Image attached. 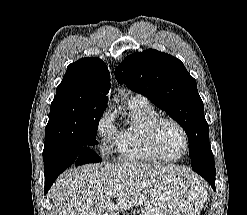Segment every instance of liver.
Returning <instances> with one entry per match:
<instances>
[{
	"mask_svg": "<svg viewBox=\"0 0 247 215\" xmlns=\"http://www.w3.org/2000/svg\"><path fill=\"white\" fill-rule=\"evenodd\" d=\"M182 172V167L161 163L89 164L61 175L50 192L58 215H119Z\"/></svg>",
	"mask_w": 247,
	"mask_h": 215,
	"instance_id": "1",
	"label": "liver"
}]
</instances>
